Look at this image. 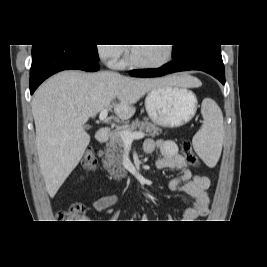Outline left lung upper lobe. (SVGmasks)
<instances>
[{"label":"left lung upper lobe","mask_w":267,"mask_h":267,"mask_svg":"<svg viewBox=\"0 0 267 267\" xmlns=\"http://www.w3.org/2000/svg\"><path fill=\"white\" fill-rule=\"evenodd\" d=\"M190 46L192 45H175V48L172 50V54H179Z\"/></svg>","instance_id":"5c2ea615"}]
</instances>
